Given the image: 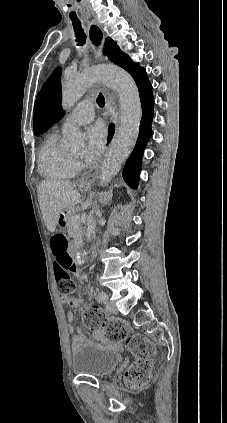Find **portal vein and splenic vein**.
Here are the masks:
<instances>
[{"label":"portal vein and splenic vein","mask_w":227,"mask_h":423,"mask_svg":"<svg viewBox=\"0 0 227 423\" xmlns=\"http://www.w3.org/2000/svg\"><path fill=\"white\" fill-rule=\"evenodd\" d=\"M72 221H74V223H80V215H74Z\"/></svg>","instance_id":"obj_1"}]
</instances>
